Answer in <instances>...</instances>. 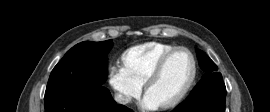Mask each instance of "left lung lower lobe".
<instances>
[{
    "mask_svg": "<svg viewBox=\"0 0 270 112\" xmlns=\"http://www.w3.org/2000/svg\"><path fill=\"white\" fill-rule=\"evenodd\" d=\"M226 87L223 81L208 86L186 99L171 112H225Z\"/></svg>",
    "mask_w": 270,
    "mask_h": 112,
    "instance_id": "0a47b994",
    "label": "left lung lower lobe"
}]
</instances>
